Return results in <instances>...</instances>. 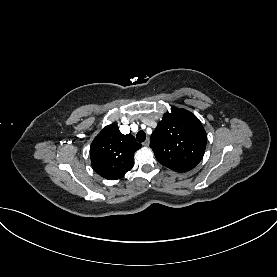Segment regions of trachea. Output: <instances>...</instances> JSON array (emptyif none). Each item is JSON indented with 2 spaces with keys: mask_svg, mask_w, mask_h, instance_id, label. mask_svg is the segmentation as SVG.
<instances>
[{
  "mask_svg": "<svg viewBox=\"0 0 277 277\" xmlns=\"http://www.w3.org/2000/svg\"><path fill=\"white\" fill-rule=\"evenodd\" d=\"M136 138H137V141L138 142H144L145 141V139H146V134H145V132L144 131H139L138 133H137V135H136Z\"/></svg>",
  "mask_w": 277,
  "mask_h": 277,
  "instance_id": "1",
  "label": "trachea"
}]
</instances>
